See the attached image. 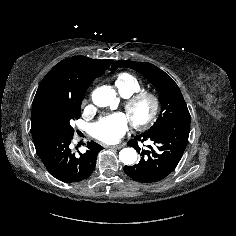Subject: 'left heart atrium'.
I'll use <instances>...</instances> for the list:
<instances>
[{"mask_svg":"<svg viewBox=\"0 0 236 236\" xmlns=\"http://www.w3.org/2000/svg\"><path fill=\"white\" fill-rule=\"evenodd\" d=\"M128 129V118L114 113L102 118L91 127V135L104 143H115Z\"/></svg>","mask_w":236,"mask_h":236,"instance_id":"obj_1","label":"left heart atrium"}]
</instances>
